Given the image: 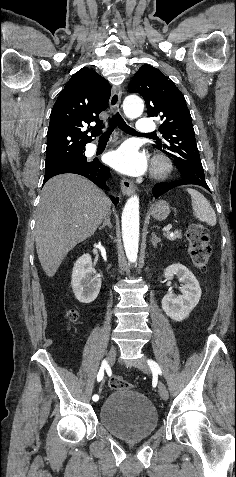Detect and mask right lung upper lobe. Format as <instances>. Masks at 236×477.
Masks as SVG:
<instances>
[{
	"mask_svg": "<svg viewBox=\"0 0 236 477\" xmlns=\"http://www.w3.org/2000/svg\"><path fill=\"white\" fill-rule=\"evenodd\" d=\"M111 95L109 83L94 70L84 67L72 75L59 94L50 115L46 164H55L85 150L91 137L81 131L91 122L93 136L103 128L99 114L106 110Z\"/></svg>",
	"mask_w": 236,
	"mask_h": 477,
	"instance_id": "cb5924a9",
	"label": "right lung upper lobe"
}]
</instances>
